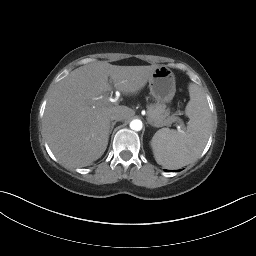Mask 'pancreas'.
Here are the masks:
<instances>
[{
  "label": "pancreas",
  "instance_id": "1",
  "mask_svg": "<svg viewBox=\"0 0 256 256\" xmlns=\"http://www.w3.org/2000/svg\"><path fill=\"white\" fill-rule=\"evenodd\" d=\"M148 122L155 127L168 126L177 121L175 115L170 116L169 109L163 103H156L148 106Z\"/></svg>",
  "mask_w": 256,
  "mask_h": 256
}]
</instances>
